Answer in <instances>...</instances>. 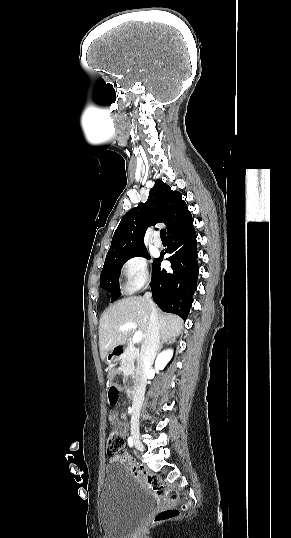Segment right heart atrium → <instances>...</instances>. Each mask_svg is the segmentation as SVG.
<instances>
[{
	"label": "right heart atrium",
	"mask_w": 291,
	"mask_h": 538,
	"mask_svg": "<svg viewBox=\"0 0 291 538\" xmlns=\"http://www.w3.org/2000/svg\"><path fill=\"white\" fill-rule=\"evenodd\" d=\"M124 288L133 293L145 286L150 278L147 260L142 255L127 258L121 267Z\"/></svg>",
	"instance_id": "d8ad5b80"
}]
</instances>
